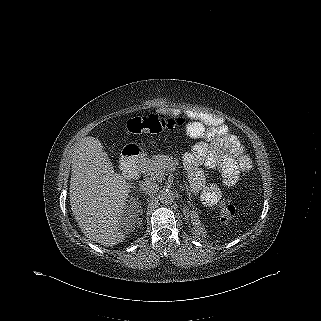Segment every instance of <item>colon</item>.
Returning <instances> with one entry per match:
<instances>
[{"label": "colon", "instance_id": "1", "mask_svg": "<svg viewBox=\"0 0 321 321\" xmlns=\"http://www.w3.org/2000/svg\"><path fill=\"white\" fill-rule=\"evenodd\" d=\"M184 123V118L166 119L161 115H150L129 120L127 123V129L133 134H140L142 132L158 133L164 129H172L176 126L183 125ZM234 213L235 207L230 201L221 202V215L224 220L231 218Z\"/></svg>", "mask_w": 321, "mask_h": 321}]
</instances>
